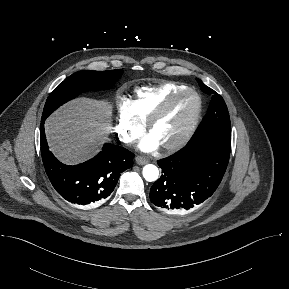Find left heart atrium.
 <instances>
[{
  "instance_id": "39dd6f15",
  "label": "left heart atrium",
  "mask_w": 289,
  "mask_h": 289,
  "mask_svg": "<svg viewBox=\"0 0 289 289\" xmlns=\"http://www.w3.org/2000/svg\"><path fill=\"white\" fill-rule=\"evenodd\" d=\"M159 146V143L149 135L140 143V149L143 151H152Z\"/></svg>"
}]
</instances>
